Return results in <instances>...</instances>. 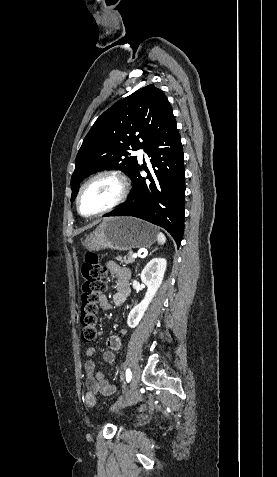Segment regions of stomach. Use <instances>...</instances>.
<instances>
[{"label": "stomach", "mask_w": 277, "mask_h": 477, "mask_svg": "<svg viewBox=\"0 0 277 477\" xmlns=\"http://www.w3.org/2000/svg\"><path fill=\"white\" fill-rule=\"evenodd\" d=\"M155 226L134 217H111L104 219L84 241L89 251L103 249L130 250L147 248L157 239Z\"/></svg>", "instance_id": "0dacf381"}]
</instances>
